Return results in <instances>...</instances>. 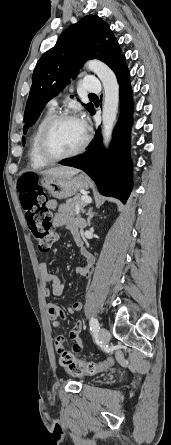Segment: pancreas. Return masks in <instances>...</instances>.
I'll return each mask as SVG.
<instances>
[{
  "label": "pancreas",
  "instance_id": "obj_1",
  "mask_svg": "<svg viewBox=\"0 0 171 445\" xmlns=\"http://www.w3.org/2000/svg\"><path fill=\"white\" fill-rule=\"evenodd\" d=\"M82 198L81 196H76L68 199L65 204L59 206V211L68 214L71 217L70 220H76L74 219L76 209L80 208L82 210L86 206V202Z\"/></svg>",
  "mask_w": 171,
  "mask_h": 445
}]
</instances>
